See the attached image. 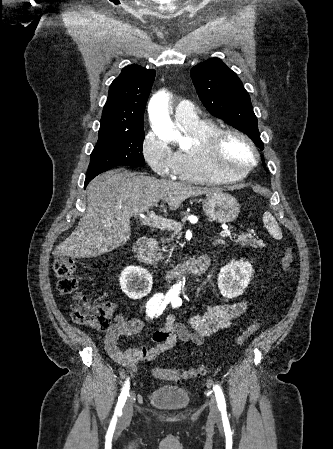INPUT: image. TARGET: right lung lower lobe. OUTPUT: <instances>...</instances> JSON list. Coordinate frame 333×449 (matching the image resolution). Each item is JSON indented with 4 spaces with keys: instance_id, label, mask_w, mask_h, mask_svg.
Returning a JSON list of instances; mask_svg holds the SVG:
<instances>
[{
    "instance_id": "98d812e1",
    "label": "right lung lower lobe",
    "mask_w": 333,
    "mask_h": 449,
    "mask_svg": "<svg viewBox=\"0 0 333 449\" xmlns=\"http://www.w3.org/2000/svg\"><path fill=\"white\" fill-rule=\"evenodd\" d=\"M94 177L92 176H87L86 180H85V187L87 186V184L93 179Z\"/></svg>"
}]
</instances>
